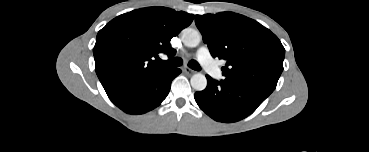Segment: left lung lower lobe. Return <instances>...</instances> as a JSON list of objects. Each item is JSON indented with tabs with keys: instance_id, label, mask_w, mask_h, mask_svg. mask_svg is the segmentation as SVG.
<instances>
[{
	"instance_id": "obj_1",
	"label": "left lung lower lobe",
	"mask_w": 369,
	"mask_h": 152,
	"mask_svg": "<svg viewBox=\"0 0 369 152\" xmlns=\"http://www.w3.org/2000/svg\"><path fill=\"white\" fill-rule=\"evenodd\" d=\"M207 77V87L194 95L198 106L211 118L231 123L244 119L270 95L261 89L220 82Z\"/></svg>"
}]
</instances>
